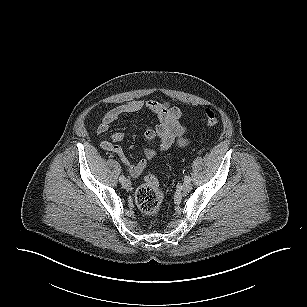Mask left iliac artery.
<instances>
[{
  "mask_svg": "<svg viewBox=\"0 0 307 307\" xmlns=\"http://www.w3.org/2000/svg\"><path fill=\"white\" fill-rule=\"evenodd\" d=\"M184 180H185V182H190L191 178L189 176H185Z\"/></svg>",
  "mask_w": 307,
  "mask_h": 307,
  "instance_id": "obj_1",
  "label": "left iliac artery"
}]
</instances>
